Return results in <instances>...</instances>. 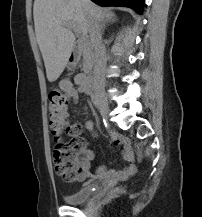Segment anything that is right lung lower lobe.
Listing matches in <instances>:
<instances>
[{"label": "right lung lower lobe", "instance_id": "98d812e1", "mask_svg": "<svg viewBox=\"0 0 202 217\" xmlns=\"http://www.w3.org/2000/svg\"><path fill=\"white\" fill-rule=\"evenodd\" d=\"M101 6H123L142 13L144 0H92Z\"/></svg>", "mask_w": 202, "mask_h": 217}]
</instances>
